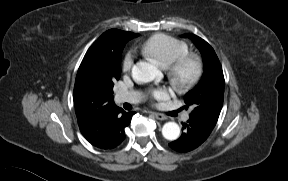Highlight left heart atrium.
<instances>
[{
    "label": "left heart atrium",
    "instance_id": "left-heart-atrium-1",
    "mask_svg": "<svg viewBox=\"0 0 288 181\" xmlns=\"http://www.w3.org/2000/svg\"><path fill=\"white\" fill-rule=\"evenodd\" d=\"M149 96L153 100H165L168 98L169 92L165 87H157L149 90Z\"/></svg>",
    "mask_w": 288,
    "mask_h": 181
}]
</instances>
